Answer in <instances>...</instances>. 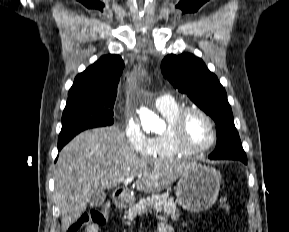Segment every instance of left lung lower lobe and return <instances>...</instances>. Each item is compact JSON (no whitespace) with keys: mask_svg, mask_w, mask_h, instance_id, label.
Here are the masks:
<instances>
[{"mask_svg":"<svg viewBox=\"0 0 289 232\" xmlns=\"http://www.w3.org/2000/svg\"><path fill=\"white\" fill-rule=\"evenodd\" d=\"M234 160H240V161H242L243 163L247 164V160H244V159H234Z\"/></svg>","mask_w":289,"mask_h":232,"instance_id":"obj_1","label":"left lung lower lobe"}]
</instances>
